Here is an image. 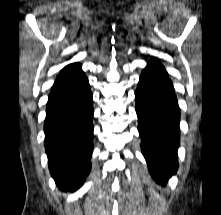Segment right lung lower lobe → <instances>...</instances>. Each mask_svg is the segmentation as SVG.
I'll list each match as a JSON object with an SVG mask.
<instances>
[{
	"instance_id": "98d812e1",
	"label": "right lung lower lobe",
	"mask_w": 221,
	"mask_h": 215,
	"mask_svg": "<svg viewBox=\"0 0 221 215\" xmlns=\"http://www.w3.org/2000/svg\"><path fill=\"white\" fill-rule=\"evenodd\" d=\"M93 112L84 72L53 85L46 105L45 149L60 189L76 191L91 170Z\"/></svg>"
}]
</instances>
